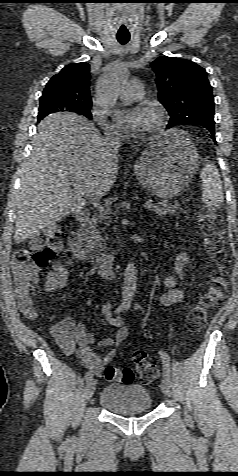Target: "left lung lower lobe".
<instances>
[{
	"label": "left lung lower lobe",
	"instance_id": "1",
	"mask_svg": "<svg viewBox=\"0 0 238 476\" xmlns=\"http://www.w3.org/2000/svg\"><path fill=\"white\" fill-rule=\"evenodd\" d=\"M214 124H215L214 122L207 121V122H201L199 125L208 129L210 131V133L212 134V138H213L214 142H216L215 137H214L215 136Z\"/></svg>",
	"mask_w": 238,
	"mask_h": 476
}]
</instances>
